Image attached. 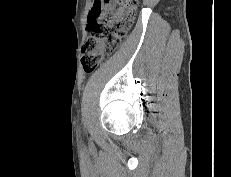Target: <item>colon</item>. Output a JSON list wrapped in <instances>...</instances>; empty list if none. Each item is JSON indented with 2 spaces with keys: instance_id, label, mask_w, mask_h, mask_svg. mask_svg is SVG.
Segmentation results:
<instances>
[{
  "instance_id": "obj_1",
  "label": "colon",
  "mask_w": 231,
  "mask_h": 177,
  "mask_svg": "<svg viewBox=\"0 0 231 177\" xmlns=\"http://www.w3.org/2000/svg\"><path fill=\"white\" fill-rule=\"evenodd\" d=\"M116 2L118 8L106 16L103 22L98 17L101 3ZM138 0H97L88 19L87 37L82 48V66L92 72L116 49L133 22Z\"/></svg>"
}]
</instances>
